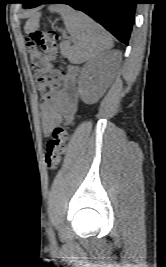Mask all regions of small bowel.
<instances>
[{
    "label": "small bowel",
    "mask_w": 166,
    "mask_h": 267,
    "mask_svg": "<svg viewBox=\"0 0 166 267\" xmlns=\"http://www.w3.org/2000/svg\"><path fill=\"white\" fill-rule=\"evenodd\" d=\"M77 70L70 68L59 90L41 106L43 131L49 135L61 118L71 121L76 111V97L72 93L76 84Z\"/></svg>",
    "instance_id": "c3829d8e"
}]
</instances>
